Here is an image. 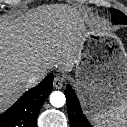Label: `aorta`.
<instances>
[{
	"instance_id": "obj_1",
	"label": "aorta",
	"mask_w": 127,
	"mask_h": 127,
	"mask_svg": "<svg viewBox=\"0 0 127 127\" xmlns=\"http://www.w3.org/2000/svg\"><path fill=\"white\" fill-rule=\"evenodd\" d=\"M50 103L54 107H62L66 103L64 93L60 91H54L50 94Z\"/></svg>"
}]
</instances>
